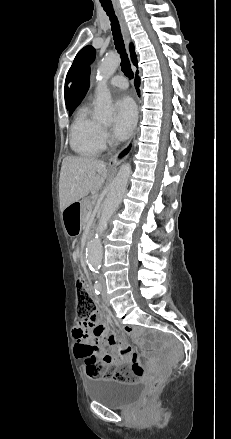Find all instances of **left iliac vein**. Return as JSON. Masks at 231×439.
Listing matches in <instances>:
<instances>
[{
  "mask_svg": "<svg viewBox=\"0 0 231 439\" xmlns=\"http://www.w3.org/2000/svg\"><path fill=\"white\" fill-rule=\"evenodd\" d=\"M101 285H102V288H103L102 295H103V298H104V302H105V304L109 305V300H108L107 294H106V282H105V280L101 281Z\"/></svg>",
  "mask_w": 231,
  "mask_h": 439,
  "instance_id": "4c4485c4",
  "label": "left iliac vein"
}]
</instances>
